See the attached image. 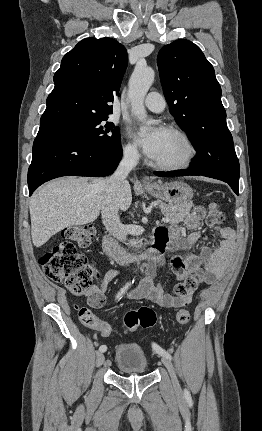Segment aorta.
<instances>
[{
  "label": "aorta",
  "mask_w": 262,
  "mask_h": 431,
  "mask_svg": "<svg viewBox=\"0 0 262 431\" xmlns=\"http://www.w3.org/2000/svg\"><path fill=\"white\" fill-rule=\"evenodd\" d=\"M154 70L151 67L137 65L129 80L128 97L131 102V113L145 126L142 132L149 129L150 121H147V112L144 107V98L154 81Z\"/></svg>",
  "instance_id": "1"
}]
</instances>
